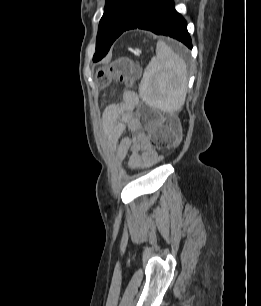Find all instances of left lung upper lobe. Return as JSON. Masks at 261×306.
<instances>
[{
	"label": "left lung upper lobe",
	"mask_w": 261,
	"mask_h": 306,
	"mask_svg": "<svg viewBox=\"0 0 261 306\" xmlns=\"http://www.w3.org/2000/svg\"><path fill=\"white\" fill-rule=\"evenodd\" d=\"M144 2L145 0H106L93 61H99L107 54Z\"/></svg>",
	"instance_id": "obj_1"
}]
</instances>
